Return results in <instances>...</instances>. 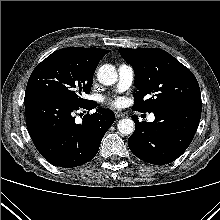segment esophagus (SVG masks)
Here are the masks:
<instances>
[{
  "label": "esophagus",
  "mask_w": 220,
  "mask_h": 220,
  "mask_svg": "<svg viewBox=\"0 0 220 220\" xmlns=\"http://www.w3.org/2000/svg\"><path fill=\"white\" fill-rule=\"evenodd\" d=\"M115 116H116V118H122V117L125 116V114L122 113V112H120V111H116V112H115Z\"/></svg>",
  "instance_id": "1"
}]
</instances>
